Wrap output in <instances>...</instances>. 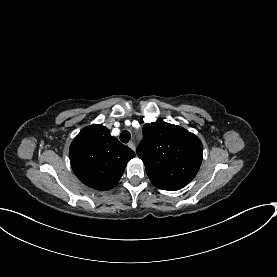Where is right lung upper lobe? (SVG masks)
Segmentation results:
<instances>
[{
	"label": "right lung upper lobe",
	"instance_id": "obj_1",
	"mask_svg": "<svg viewBox=\"0 0 277 277\" xmlns=\"http://www.w3.org/2000/svg\"><path fill=\"white\" fill-rule=\"evenodd\" d=\"M71 167L78 179L96 190L114 188L134 151L110 135L102 125L85 127L69 150Z\"/></svg>",
	"mask_w": 277,
	"mask_h": 277
}]
</instances>
